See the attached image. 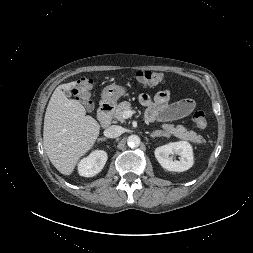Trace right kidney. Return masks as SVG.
Listing matches in <instances>:
<instances>
[{
  "label": "right kidney",
  "mask_w": 253,
  "mask_h": 253,
  "mask_svg": "<svg viewBox=\"0 0 253 253\" xmlns=\"http://www.w3.org/2000/svg\"><path fill=\"white\" fill-rule=\"evenodd\" d=\"M107 161V153L103 150L93 151L78 164V172L84 177H93L98 174Z\"/></svg>",
  "instance_id": "obj_1"
}]
</instances>
